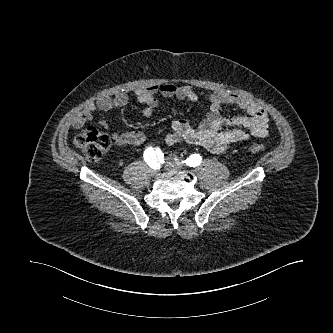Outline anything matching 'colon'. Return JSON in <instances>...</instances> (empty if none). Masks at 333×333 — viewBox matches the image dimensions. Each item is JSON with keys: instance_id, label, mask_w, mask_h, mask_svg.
Returning <instances> with one entry per match:
<instances>
[{"instance_id": "5ec220e1", "label": "colon", "mask_w": 333, "mask_h": 333, "mask_svg": "<svg viewBox=\"0 0 333 333\" xmlns=\"http://www.w3.org/2000/svg\"><path fill=\"white\" fill-rule=\"evenodd\" d=\"M75 144L83 151L90 161H98L111 146V138L108 133L97 127L91 126L85 132L75 138ZM265 151L261 144H251L243 149L247 156L259 155Z\"/></svg>"}]
</instances>
